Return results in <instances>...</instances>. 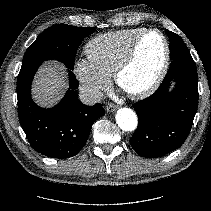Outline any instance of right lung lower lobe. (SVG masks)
Returning a JSON list of instances; mask_svg holds the SVG:
<instances>
[{
  "label": "right lung lower lobe",
  "instance_id": "right-lung-lower-lobe-1",
  "mask_svg": "<svg viewBox=\"0 0 211 211\" xmlns=\"http://www.w3.org/2000/svg\"><path fill=\"white\" fill-rule=\"evenodd\" d=\"M40 64L26 67L19 72V121L29 143L37 152L51 158H69L84 147L93 123L103 116L105 111L101 104L87 106L79 101L74 91L78 82L71 71L70 90L59 104L49 109L36 105L30 90L32 79Z\"/></svg>",
  "mask_w": 211,
  "mask_h": 211
}]
</instances>
